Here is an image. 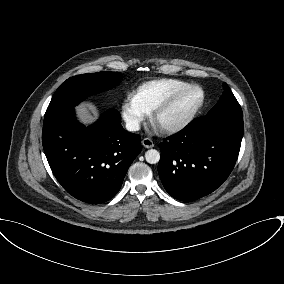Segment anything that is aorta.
<instances>
[{
    "mask_svg": "<svg viewBox=\"0 0 284 284\" xmlns=\"http://www.w3.org/2000/svg\"><path fill=\"white\" fill-rule=\"evenodd\" d=\"M145 159L150 164H156L160 160V153L155 149H150L145 153Z\"/></svg>",
    "mask_w": 284,
    "mask_h": 284,
    "instance_id": "aorta-1",
    "label": "aorta"
}]
</instances>
